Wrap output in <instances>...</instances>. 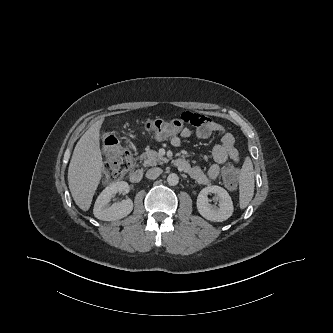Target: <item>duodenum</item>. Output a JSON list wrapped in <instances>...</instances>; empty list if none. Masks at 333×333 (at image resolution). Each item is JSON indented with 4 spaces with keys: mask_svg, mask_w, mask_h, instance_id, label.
<instances>
[{
    "mask_svg": "<svg viewBox=\"0 0 333 333\" xmlns=\"http://www.w3.org/2000/svg\"><path fill=\"white\" fill-rule=\"evenodd\" d=\"M175 163L181 169L188 167V162L185 159H176ZM129 178H130V181L132 183H139V182H141V180L143 178V170L142 169H137V170L133 171L130 174Z\"/></svg>",
    "mask_w": 333,
    "mask_h": 333,
    "instance_id": "obj_1",
    "label": "duodenum"
}]
</instances>
